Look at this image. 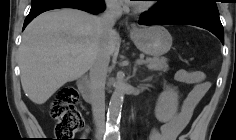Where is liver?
Here are the masks:
<instances>
[{"label": "liver", "instance_id": "liver-1", "mask_svg": "<svg viewBox=\"0 0 236 140\" xmlns=\"http://www.w3.org/2000/svg\"><path fill=\"white\" fill-rule=\"evenodd\" d=\"M114 31L110 54L120 47ZM102 47L99 17L78 9L42 13L25 29L19 48L21 84L35 104H44L65 83L82 77Z\"/></svg>", "mask_w": 236, "mask_h": 140}]
</instances>
